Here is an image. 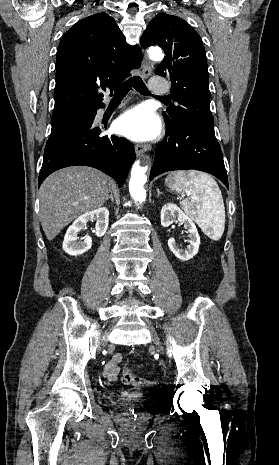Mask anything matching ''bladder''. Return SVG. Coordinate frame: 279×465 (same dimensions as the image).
Instances as JSON below:
<instances>
[{
    "label": "bladder",
    "mask_w": 279,
    "mask_h": 465,
    "mask_svg": "<svg viewBox=\"0 0 279 465\" xmlns=\"http://www.w3.org/2000/svg\"><path fill=\"white\" fill-rule=\"evenodd\" d=\"M124 399H126V400L139 401V400H142V397H140V396H130V395H127V396L124 397Z\"/></svg>",
    "instance_id": "obj_1"
}]
</instances>
